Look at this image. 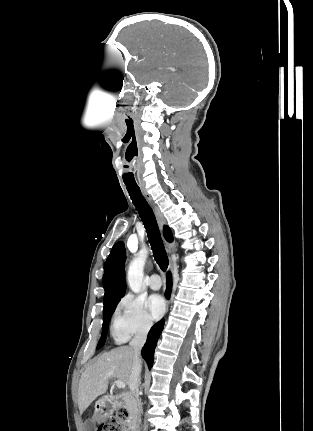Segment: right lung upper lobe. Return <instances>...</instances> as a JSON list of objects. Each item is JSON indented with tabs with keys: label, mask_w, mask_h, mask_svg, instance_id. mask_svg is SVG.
I'll use <instances>...</instances> for the list:
<instances>
[{
	"label": "right lung upper lobe",
	"mask_w": 313,
	"mask_h": 431,
	"mask_svg": "<svg viewBox=\"0 0 313 431\" xmlns=\"http://www.w3.org/2000/svg\"><path fill=\"white\" fill-rule=\"evenodd\" d=\"M164 236L172 241V233L168 226L164 227ZM126 260L125 246L123 242L116 243L108 256L103 275L104 306L120 300L126 290L124 264Z\"/></svg>",
	"instance_id": "obj_1"
}]
</instances>
